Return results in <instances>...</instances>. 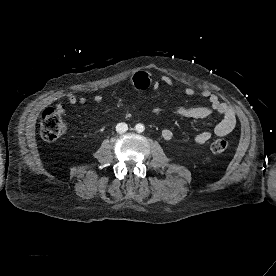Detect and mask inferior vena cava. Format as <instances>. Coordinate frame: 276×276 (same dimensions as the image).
<instances>
[{"mask_svg": "<svg viewBox=\"0 0 276 276\" xmlns=\"http://www.w3.org/2000/svg\"><path fill=\"white\" fill-rule=\"evenodd\" d=\"M128 130V125L126 123H118L116 125V131L119 134L125 133Z\"/></svg>", "mask_w": 276, "mask_h": 276, "instance_id": "obj_1", "label": "inferior vena cava"}]
</instances>
